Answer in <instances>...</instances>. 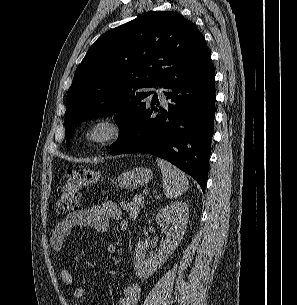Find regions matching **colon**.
<instances>
[{"mask_svg": "<svg viewBox=\"0 0 297 305\" xmlns=\"http://www.w3.org/2000/svg\"><path fill=\"white\" fill-rule=\"evenodd\" d=\"M99 180L96 170L77 168L68 171L66 179L61 187L57 202V212L66 214L75 211L80 206L81 188L92 185Z\"/></svg>", "mask_w": 297, "mask_h": 305, "instance_id": "obj_1", "label": "colon"}]
</instances>
